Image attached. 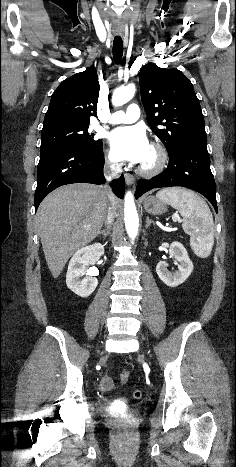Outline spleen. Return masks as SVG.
Listing matches in <instances>:
<instances>
[{
	"instance_id": "3e777b00",
	"label": "spleen",
	"mask_w": 236,
	"mask_h": 467,
	"mask_svg": "<svg viewBox=\"0 0 236 467\" xmlns=\"http://www.w3.org/2000/svg\"><path fill=\"white\" fill-rule=\"evenodd\" d=\"M156 197L173 208L183 217L182 228L190 235V246L201 258L210 255L214 245V222L206 202L195 192L179 188H165Z\"/></svg>"
}]
</instances>
